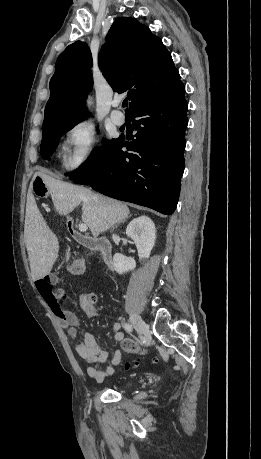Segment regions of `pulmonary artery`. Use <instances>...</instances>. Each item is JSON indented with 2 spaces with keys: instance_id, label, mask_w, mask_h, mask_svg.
I'll use <instances>...</instances> for the list:
<instances>
[{
  "instance_id": "obj_1",
  "label": "pulmonary artery",
  "mask_w": 261,
  "mask_h": 459,
  "mask_svg": "<svg viewBox=\"0 0 261 459\" xmlns=\"http://www.w3.org/2000/svg\"><path fill=\"white\" fill-rule=\"evenodd\" d=\"M119 104L120 101L118 99L112 101V106L114 107V110L111 111L110 117L116 125H122L125 123L124 114L121 111L117 110Z\"/></svg>"
}]
</instances>
